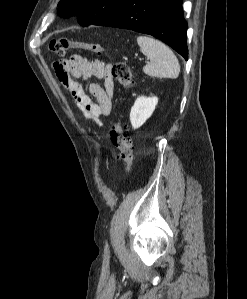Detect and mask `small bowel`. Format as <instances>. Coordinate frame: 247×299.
Returning <instances> with one entry per match:
<instances>
[{
  "instance_id": "1",
  "label": "small bowel",
  "mask_w": 247,
  "mask_h": 299,
  "mask_svg": "<svg viewBox=\"0 0 247 299\" xmlns=\"http://www.w3.org/2000/svg\"><path fill=\"white\" fill-rule=\"evenodd\" d=\"M54 69L60 83L71 93L75 104L88 119L100 125V118L109 116L112 110L114 83L110 66L100 59L91 60L74 55L70 59L58 60ZM91 77L102 80L103 85L88 82Z\"/></svg>"
}]
</instances>
